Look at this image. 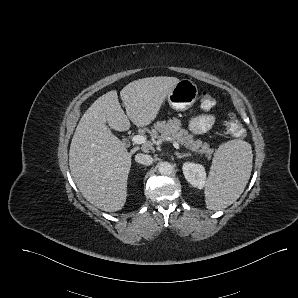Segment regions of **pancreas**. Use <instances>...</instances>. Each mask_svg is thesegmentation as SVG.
Listing matches in <instances>:
<instances>
[{"instance_id": "obj_1", "label": "pancreas", "mask_w": 298, "mask_h": 298, "mask_svg": "<svg viewBox=\"0 0 298 298\" xmlns=\"http://www.w3.org/2000/svg\"><path fill=\"white\" fill-rule=\"evenodd\" d=\"M151 136L156 139H166L171 137L186 149L200 155H205L208 160H211L214 149L210 144L203 142L201 139H195L194 135L182 127L181 120L171 118L167 121H157L151 130Z\"/></svg>"}]
</instances>
